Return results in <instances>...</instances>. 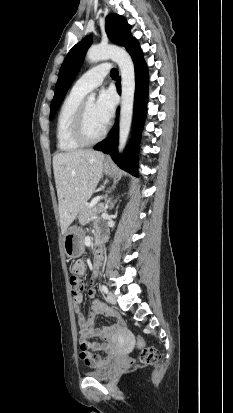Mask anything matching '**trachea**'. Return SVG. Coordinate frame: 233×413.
<instances>
[{"label": "trachea", "instance_id": "trachea-1", "mask_svg": "<svg viewBox=\"0 0 233 413\" xmlns=\"http://www.w3.org/2000/svg\"><path fill=\"white\" fill-rule=\"evenodd\" d=\"M111 77H117L118 76V70L113 68L110 72Z\"/></svg>", "mask_w": 233, "mask_h": 413}]
</instances>
